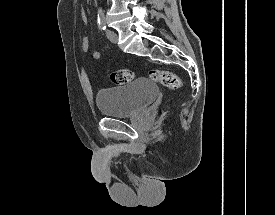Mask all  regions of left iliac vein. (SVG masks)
<instances>
[{
    "instance_id": "left-iliac-vein-1",
    "label": "left iliac vein",
    "mask_w": 275,
    "mask_h": 215,
    "mask_svg": "<svg viewBox=\"0 0 275 215\" xmlns=\"http://www.w3.org/2000/svg\"><path fill=\"white\" fill-rule=\"evenodd\" d=\"M106 35L108 37V39L112 42V43H116L118 40V36L117 33L113 30H107L106 31Z\"/></svg>"
}]
</instances>
